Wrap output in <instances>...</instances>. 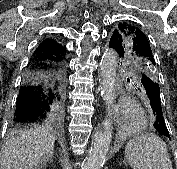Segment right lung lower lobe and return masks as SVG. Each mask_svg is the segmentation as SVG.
<instances>
[{"label":"right lung lower lobe","mask_w":177,"mask_h":169,"mask_svg":"<svg viewBox=\"0 0 177 169\" xmlns=\"http://www.w3.org/2000/svg\"><path fill=\"white\" fill-rule=\"evenodd\" d=\"M64 59L35 52L20 87L17 98L15 125L51 122L57 125L65 111Z\"/></svg>","instance_id":"obj_1"}]
</instances>
